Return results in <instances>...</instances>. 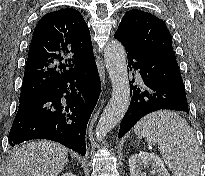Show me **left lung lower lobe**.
I'll list each match as a JSON object with an SVG mask.
<instances>
[{
  "label": "left lung lower lobe",
  "mask_w": 205,
  "mask_h": 176,
  "mask_svg": "<svg viewBox=\"0 0 205 176\" xmlns=\"http://www.w3.org/2000/svg\"><path fill=\"white\" fill-rule=\"evenodd\" d=\"M114 37L125 47L130 70H139L143 81L140 87L130 83L132 97L120 124L119 138L151 112L171 109L189 113L185 87L176 59L154 56L131 46L118 34Z\"/></svg>",
  "instance_id": "1"
}]
</instances>
